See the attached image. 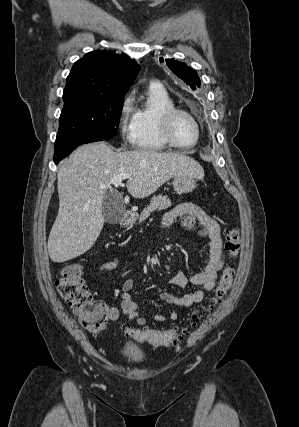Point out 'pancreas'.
Masks as SVG:
<instances>
[{
	"label": "pancreas",
	"instance_id": "cf45deb5",
	"mask_svg": "<svg viewBox=\"0 0 299 427\" xmlns=\"http://www.w3.org/2000/svg\"><path fill=\"white\" fill-rule=\"evenodd\" d=\"M171 204L172 203L169 200V198H167V196H162V195L153 196L150 204L146 208H144V210L141 212V215L139 217V223L147 219L150 216L151 212L155 210L168 209L171 206Z\"/></svg>",
	"mask_w": 299,
	"mask_h": 427
}]
</instances>
